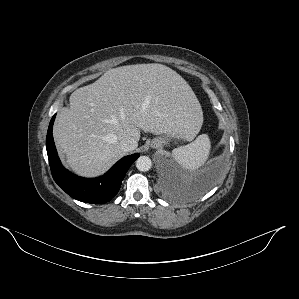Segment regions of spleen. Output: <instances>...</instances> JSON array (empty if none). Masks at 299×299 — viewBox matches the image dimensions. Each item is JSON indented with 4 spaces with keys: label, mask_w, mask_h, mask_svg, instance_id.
Listing matches in <instances>:
<instances>
[{
    "label": "spleen",
    "mask_w": 299,
    "mask_h": 299,
    "mask_svg": "<svg viewBox=\"0 0 299 299\" xmlns=\"http://www.w3.org/2000/svg\"><path fill=\"white\" fill-rule=\"evenodd\" d=\"M210 149L209 136L202 134L190 144L175 148L172 151V156L183 168L193 171L206 162Z\"/></svg>",
    "instance_id": "3e777b00"
}]
</instances>
